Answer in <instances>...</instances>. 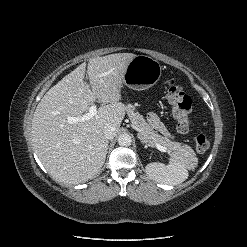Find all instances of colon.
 Instances as JSON below:
<instances>
[{
  "label": "colon",
  "mask_w": 247,
  "mask_h": 247,
  "mask_svg": "<svg viewBox=\"0 0 247 247\" xmlns=\"http://www.w3.org/2000/svg\"><path fill=\"white\" fill-rule=\"evenodd\" d=\"M166 98L172 108L177 130L183 134L187 133L192 123L190 117L192 101L190 97L185 93L182 85L170 80L167 86ZM195 147L200 153L209 148V140L205 134L199 133L196 135Z\"/></svg>",
  "instance_id": "1"
}]
</instances>
